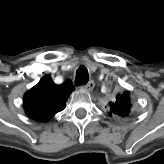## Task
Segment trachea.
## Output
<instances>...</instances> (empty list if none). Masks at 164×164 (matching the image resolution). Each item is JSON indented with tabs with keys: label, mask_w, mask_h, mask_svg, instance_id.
I'll list each match as a JSON object with an SVG mask.
<instances>
[{
	"label": "trachea",
	"mask_w": 164,
	"mask_h": 164,
	"mask_svg": "<svg viewBox=\"0 0 164 164\" xmlns=\"http://www.w3.org/2000/svg\"><path fill=\"white\" fill-rule=\"evenodd\" d=\"M89 80V75L87 68L85 66H80L76 72L75 85H85Z\"/></svg>",
	"instance_id": "obj_1"
}]
</instances>
